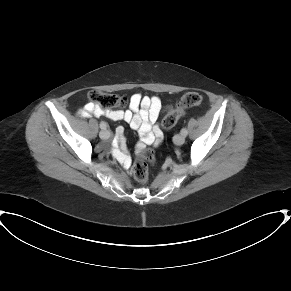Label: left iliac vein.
Instances as JSON below:
<instances>
[{
	"instance_id": "1",
	"label": "left iliac vein",
	"mask_w": 291,
	"mask_h": 291,
	"mask_svg": "<svg viewBox=\"0 0 291 291\" xmlns=\"http://www.w3.org/2000/svg\"><path fill=\"white\" fill-rule=\"evenodd\" d=\"M173 141L176 145H182L185 141V136L183 134H177L174 136Z\"/></svg>"
}]
</instances>
